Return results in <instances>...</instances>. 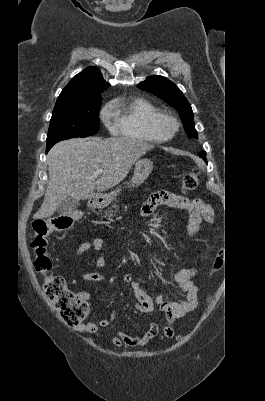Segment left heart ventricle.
Returning a JSON list of instances; mask_svg holds the SVG:
<instances>
[{"label": "left heart ventricle", "instance_id": "b2bd125f", "mask_svg": "<svg viewBox=\"0 0 265 401\" xmlns=\"http://www.w3.org/2000/svg\"><path fill=\"white\" fill-rule=\"evenodd\" d=\"M171 126L168 123H161L159 126V134L161 136H166L170 133Z\"/></svg>", "mask_w": 265, "mask_h": 401}]
</instances>
